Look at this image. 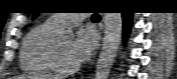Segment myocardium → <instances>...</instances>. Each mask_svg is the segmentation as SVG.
<instances>
[{
    "label": "myocardium",
    "mask_w": 177,
    "mask_h": 79,
    "mask_svg": "<svg viewBox=\"0 0 177 79\" xmlns=\"http://www.w3.org/2000/svg\"><path fill=\"white\" fill-rule=\"evenodd\" d=\"M51 59L55 70L61 74L70 75L76 73L79 70L78 64L72 67H67L64 65L61 60L57 44H54L53 46Z\"/></svg>",
    "instance_id": "obj_1"
}]
</instances>
